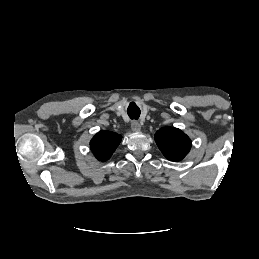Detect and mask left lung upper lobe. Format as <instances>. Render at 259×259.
I'll use <instances>...</instances> for the list:
<instances>
[{
	"label": "left lung upper lobe",
	"mask_w": 259,
	"mask_h": 259,
	"mask_svg": "<svg viewBox=\"0 0 259 259\" xmlns=\"http://www.w3.org/2000/svg\"><path fill=\"white\" fill-rule=\"evenodd\" d=\"M155 142L163 155L170 161H180L191 148L190 138L180 129L164 127L155 134Z\"/></svg>",
	"instance_id": "1"
}]
</instances>
